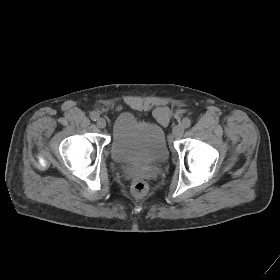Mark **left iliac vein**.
<instances>
[{
  "mask_svg": "<svg viewBox=\"0 0 280 280\" xmlns=\"http://www.w3.org/2000/svg\"><path fill=\"white\" fill-rule=\"evenodd\" d=\"M184 127L181 125H177L172 130V135L175 139H180L183 136Z\"/></svg>",
  "mask_w": 280,
  "mask_h": 280,
  "instance_id": "4c4485c4",
  "label": "left iliac vein"
}]
</instances>
